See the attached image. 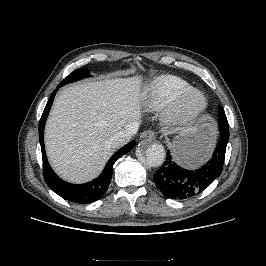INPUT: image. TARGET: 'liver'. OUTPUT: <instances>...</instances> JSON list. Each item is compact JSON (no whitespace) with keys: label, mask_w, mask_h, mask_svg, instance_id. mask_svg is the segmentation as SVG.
Segmentation results:
<instances>
[{"label":"liver","mask_w":266,"mask_h":266,"mask_svg":"<svg viewBox=\"0 0 266 266\" xmlns=\"http://www.w3.org/2000/svg\"><path fill=\"white\" fill-rule=\"evenodd\" d=\"M142 77L84 82L55 98L45 128L49 161L63 179L82 183L97 177L116 148L110 138L141 113Z\"/></svg>","instance_id":"obj_1"}]
</instances>
